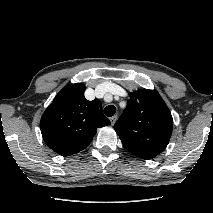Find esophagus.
I'll list each match as a JSON object with an SVG mask.
<instances>
[{"label": "esophagus", "instance_id": "obj_1", "mask_svg": "<svg viewBox=\"0 0 213 213\" xmlns=\"http://www.w3.org/2000/svg\"><path fill=\"white\" fill-rule=\"evenodd\" d=\"M116 120H117V116H116V115L112 116V117L110 118L111 125H114L115 122H116Z\"/></svg>", "mask_w": 213, "mask_h": 213}]
</instances>
